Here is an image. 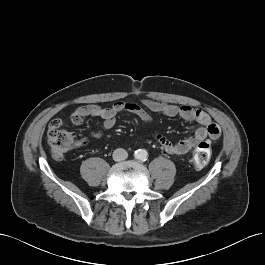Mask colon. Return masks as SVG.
<instances>
[{"mask_svg":"<svg viewBox=\"0 0 265 265\" xmlns=\"http://www.w3.org/2000/svg\"><path fill=\"white\" fill-rule=\"evenodd\" d=\"M76 136L63 128L62 122L54 121L48 129V144L54 158H63L75 145ZM211 158V148L207 142H200L193 151L192 161L197 168L206 166Z\"/></svg>","mask_w":265,"mask_h":265,"instance_id":"obj_1","label":"colon"}]
</instances>
